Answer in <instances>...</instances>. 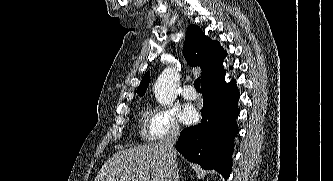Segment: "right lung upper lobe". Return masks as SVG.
Segmentation results:
<instances>
[{
    "label": "right lung upper lobe",
    "instance_id": "1",
    "mask_svg": "<svg viewBox=\"0 0 333 181\" xmlns=\"http://www.w3.org/2000/svg\"><path fill=\"white\" fill-rule=\"evenodd\" d=\"M183 54L189 65L202 68V86L215 83L225 76L222 63L226 52L217 41H212L205 36L197 25H190L187 29ZM149 82L150 73L148 71L137 89L140 96L144 95Z\"/></svg>",
    "mask_w": 333,
    "mask_h": 181
}]
</instances>
